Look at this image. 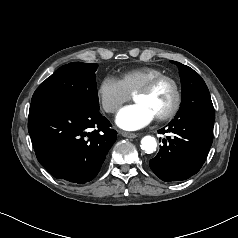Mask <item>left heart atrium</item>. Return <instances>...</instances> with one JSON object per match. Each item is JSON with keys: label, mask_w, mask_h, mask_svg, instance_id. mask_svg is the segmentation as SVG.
<instances>
[{"label": "left heart atrium", "mask_w": 238, "mask_h": 238, "mask_svg": "<svg viewBox=\"0 0 238 238\" xmlns=\"http://www.w3.org/2000/svg\"><path fill=\"white\" fill-rule=\"evenodd\" d=\"M155 118L154 113L141 103H134L122 108L116 116V124L124 130H138Z\"/></svg>", "instance_id": "1"}]
</instances>
